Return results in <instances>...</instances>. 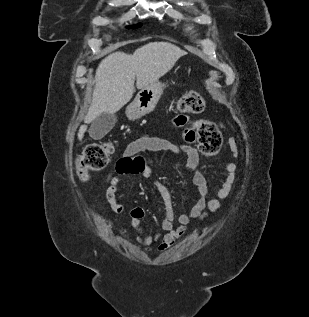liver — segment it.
Instances as JSON below:
<instances>
[{
  "mask_svg": "<svg viewBox=\"0 0 309 317\" xmlns=\"http://www.w3.org/2000/svg\"><path fill=\"white\" fill-rule=\"evenodd\" d=\"M186 54L171 43L152 42L133 54L115 52L108 55L96 70L93 99L84 122L89 124L102 113H116L131 100L135 79L138 89L153 85ZM86 130L87 125L79 128V140Z\"/></svg>",
  "mask_w": 309,
  "mask_h": 317,
  "instance_id": "6515ba94",
  "label": "liver"
}]
</instances>
